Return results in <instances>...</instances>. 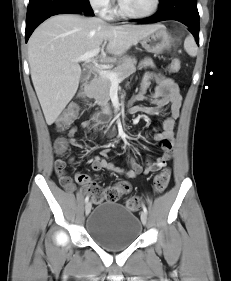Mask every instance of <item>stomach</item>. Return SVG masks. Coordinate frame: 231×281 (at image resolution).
<instances>
[{
  "mask_svg": "<svg viewBox=\"0 0 231 281\" xmlns=\"http://www.w3.org/2000/svg\"><path fill=\"white\" fill-rule=\"evenodd\" d=\"M142 47L151 53H162L172 45V37L163 26L141 39Z\"/></svg>",
  "mask_w": 231,
  "mask_h": 281,
  "instance_id": "obj_1",
  "label": "stomach"
}]
</instances>
